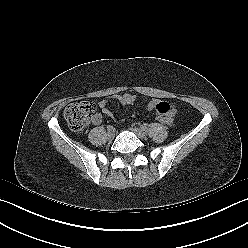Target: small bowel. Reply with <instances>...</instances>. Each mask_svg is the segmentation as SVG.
Wrapping results in <instances>:
<instances>
[{"label":"small bowel","mask_w":248,"mask_h":248,"mask_svg":"<svg viewBox=\"0 0 248 248\" xmlns=\"http://www.w3.org/2000/svg\"><path fill=\"white\" fill-rule=\"evenodd\" d=\"M137 98L138 97L136 95L130 93L114 94L110 97L111 100L117 101L123 105H133L137 101ZM99 107L103 114L113 116L108 108V101L106 99H103L99 102ZM147 108L149 111H153L157 115L166 116L169 124L172 123L173 117L175 115V109L168 102L153 99L148 103ZM102 119V114L96 113L92 118V122L93 124L98 125L102 122Z\"/></svg>","instance_id":"c3829d8e"}]
</instances>
